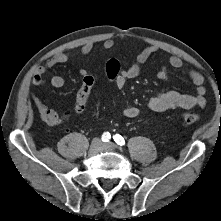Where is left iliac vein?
<instances>
[{"label": "left iliac vein", "mask_w": 221, "mask_h": 221, "mask_svg": "<svg viewBox=\"0 0 221 221\" xmlns=\"http://www.w3.org/2000/svg\"><path fill=\"white\" fill-rule=\"evenodd\" d=\"M103 149L112 151L116 148V145L112 142L104 143L102 146Z\"/></svg>", "instance_id": "obj_1"}]
</instances>
